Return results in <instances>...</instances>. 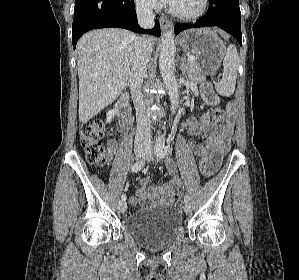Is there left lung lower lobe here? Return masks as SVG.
I'll use <instances>...</instances> for the list:
<instances>
[{"label":"left lung lower lobe","instance_id":"left-lung-lower-lobe-1","mask_svg":"<svg viewBox=\"0 0 299 280\" xmlns=\"http://www.w3.org/2000/svg\"><path fill=\"white\" fill-rule=\"evenodd\" d=\"M217 26L233 35L240 45H242L241 34V12L239 0H210L206 14L195 23L176 24L175 34L198 27Z\"/></svg>","mask_w":299,"mask_h":280}]
</instances>
